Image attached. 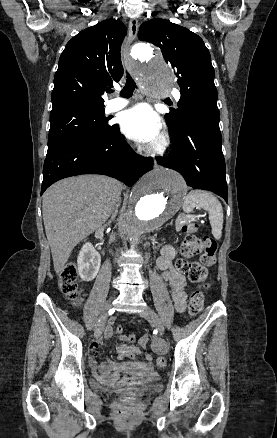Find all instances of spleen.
I'll use <instances>...</instances> for the list:
<instances>
[{
    "mask_svg": "<svg viewBox=\"0 0 277 438\" xmlns=\"http://www.w3.org/2000/svg\"><path fill=\"white\" fill-rule=\"evenodd\" d=\"M195 206H200L203 210L209 212V222L212 228V234L216 240H220L223 230V208L210 192H204V190H192L186 196L185 204H183V210L186 214L193 212Z\"/></svg>",
    "mask_w": 277,
    "mask_h": 438,
    "instance_id": "obj_1",
    "label": "spleen"
}]
</instances>
